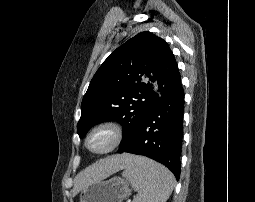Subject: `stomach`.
Here are the masks:
<instances>
[{"label":"stomach","mask_w":255,"mask_h":202,"mask_svg":"<svg viewBox=\"0 0 255 202\" xmlns=\"http://www.w3.org/2000/svg\"><path fill=\"white\" fill-rule=\"evenodd\" d=\"M129 185L120 177L94 182L81 190L79 202H122L130 195Z\"/></svg>","instance_id":"obj_1"}]
</instances>
